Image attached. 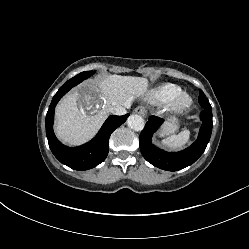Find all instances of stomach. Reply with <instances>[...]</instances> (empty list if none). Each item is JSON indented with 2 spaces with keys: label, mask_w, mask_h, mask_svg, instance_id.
<instances>
[{
  "label": "stomach",
  "mask_w": 249,
  "mask_h": 249,
  "mask_svg": "<svg viewBox=\"0 0 249 249\" xmlns=\"http://www.w3.org/2000/svg\"><path fill=\"white\" fill-rule=\"evenodd\" d=\"M179 128L178 120L175 117L166 119L164 125L160 129L159 136H169L174 134Z\"/></svg>",
  "instance_id": "obj_1"
}]
</instances>
